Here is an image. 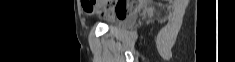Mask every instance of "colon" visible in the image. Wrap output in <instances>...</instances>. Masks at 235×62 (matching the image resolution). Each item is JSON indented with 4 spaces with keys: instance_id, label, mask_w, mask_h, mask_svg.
I'll use <instances>...</instances> for the list:
<instances>
[{
    "instance_id": "1",
    "label": "colon",
    "mask_w": 235,
    "mask_h": 62,
    "mask_svg": "<svg viewBox=\"0 0 235 62\" xmlns=\"http://www.w3.org/2000/svg\"><path fill=\"white\" fill-rule=\"evenodd\" d=\"M131 8H132V6L129 7V8H126V7H117V16H118L119 18L124 17L125 14L127 13V11H128L129 9H131Z\"/></svg>"
}]
</instances>
